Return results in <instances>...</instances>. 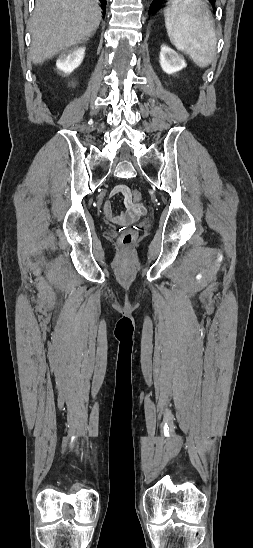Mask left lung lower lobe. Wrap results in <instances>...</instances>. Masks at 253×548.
<instances>
[{
  "instance_id": "obj_1",
  "label": "left lung lower lobe",
  "mask_w": 253,
  "mask_h": 548,
  "mask_svg": "<svg viewBox=\"0 0 253 548\" xmlns=\"http://www.w3.org/2000/svg\"><path fill=\"white\" fill-rule=\"evenodd\" d=\"M164 0H153V2L150 5V11H154L159 7V4L163 2ZM212 5H214L215 0H209Z\"/></svg>"
}]
</instances>
